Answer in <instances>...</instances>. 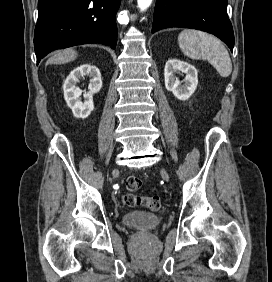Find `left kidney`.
<instances>
[{
    "mask_svg": "<svg viewBox=\"0 0 272 282\" xmlns=\"http://www.w3.org/2000/svg\"><path fill=\"white\" fill-rule=\"evenodd\" d=\"M178 72L186 74L183 81H179L175 76ZM164 81L165 88L172 92L177 99L188 100L197 88L198 72L189 63L178 59H170L164 67Z\"/></svg>",
    "mask_w": 272,
    "mask_h": 282,
    "instance_id": "obj_1",
    "label": "left kidney"
}]
</instances>
